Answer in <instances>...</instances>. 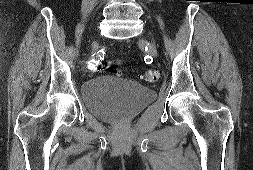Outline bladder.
I'll use <instances>...</instances> for the list:
<instances>
[{"mask_svg": "<svg viewBox=\"0 0 253 170\" xmlns=\"http://www.w3.org/2000/svg\"><path fill=\"white\" fill-rule=\"evenodd\" d=\"M82 98L88 111L106 121L133 118L155 100L154 89L128 79L101 75L86 81Z\"/></svg>", "mask_w": 253, "mask_h": 170, "instance_id": "1", "label": "bladder"}]
</instances>
